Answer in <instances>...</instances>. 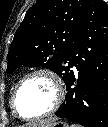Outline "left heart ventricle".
I'll return each mask as SVG.
<instances>
[{
	"label": "left heart ventricle",
	"mask_w": 108,
	"mask_h": 127,
	"mask_svg": "<svg viewBox=\"0 0 108 127\" xmlns=\"http://www.w3.org/2000/svg\"><path fill=\"white\" fill-rule=\"evenodd\" d=\"M55 99L52 82L45 76H35L27 80L16 97L18 111L26 117L37 116L47 111Z\"/></svg>",
	"instance_id": "left-heart-ventricle-1"
}]
</instances>
